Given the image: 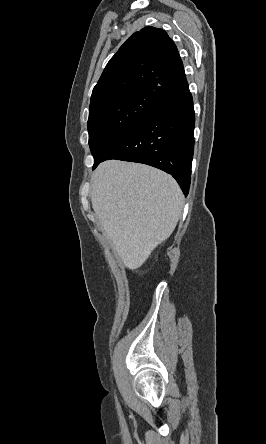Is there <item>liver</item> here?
<instances>
[{
    "mask_svg": "<svg viewBox=\"0 0 266 444\" xmlns=\"http://www.w3.org/2000/svg\"><path fill=\"white\" fill-rule=\"evenodd\" d=\"M91 202L125 267L136 269L173 233L183 194L174 178L161 170L109 160L92 176Z\"/></svg>",
    "mask_w": 266,
    "mask_h": 444,
    "instance_id": "6515ba94",
    "label": "liver"
}]
</instances>
